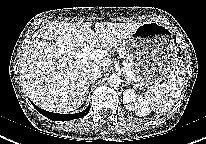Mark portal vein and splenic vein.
I'll return each instance as SVG.
<instances>
[{"mask_svg":"<svg viewBox=\"0 0 206 144\" xmlns=\"http://www.w3.org/2000/svg\"><path fill=\"white\" fill-rule=\"evenodd\" d=\"M70 54L75 58L77 61H87V60H93L96 58H101L103 56H106V51L102 49H94L93 45L84 47L81 51H72ZM122 65L124 66L125 73L130 79H134V75L130 71V65L126 63V61L122 62Z\"/></svg>","mask_w":206,"mask_h":144,"instance_id":"obj_1","label":"portal vein and splenic vein"}]
</instances>
